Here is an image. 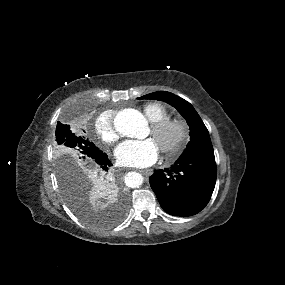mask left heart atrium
I'll return each instance as SVG.
<instances>
[{"label":"left heart atrium","instance_id":"39dd6f15","mask_svg":"<svg viewBox=\"0 0 285 285\" xmlns=\"http://www.w3.org/2000/svg\"><path fill=\"white\" fill-rule=\"evenodd\" d=\"M160 155L159 144L154 139L127 140L115 150L118 162L129 167H147L157 161Z\"/></svg>","mask_w":285,"mask_h":285}]
</instances>
